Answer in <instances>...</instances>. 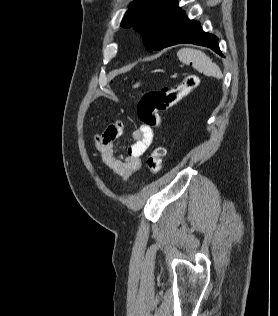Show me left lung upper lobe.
I'll list each match as a JSON object with an SVG mask.
<instances>
[{"mask_svg": "<svg viewBox=\"0 0 278 316\" xmlns=\"http://www.w3.org/2000/svg\"><path fill=\"white\" fill-rule=\"evenodd\" d=\"M184 14L177 0H135L125 13L121 26L139 31L145 47L151 52L165 47Z\"/></svg>", "mask_w": 278, "mask_h": 316, "instance_id": "5c2ea615", "label": "left lung upper lobe"}]
</instances>
